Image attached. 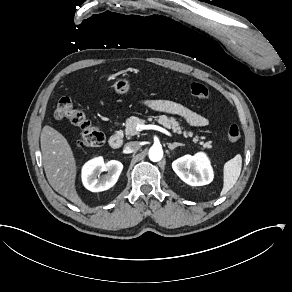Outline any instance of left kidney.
Listing matches in <instances>:
<instances>
[{"label": "left kidney", "mask_w": 292, "mask_h": 292, "mask_svg": "<svg viewBox=\"0 0 292 292\" xmlns=\"http://www.w3.org/2000/svg\"><path fill=\"white\" fill-rule=\"evenodd\" d=\"M172 168L181 180L191 186L207 185L214 178L210 160L204 152L182 156L172 163Z\"/></svg>", "instance_id": "left-kidney-1"}]
</instances>
